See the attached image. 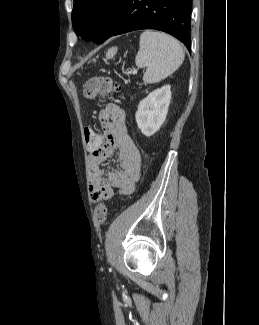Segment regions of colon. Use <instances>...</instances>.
Here are the masks:
<instances>
[{
    "label": "colon",
    "mask_w": 259,
    "mask_h": 325,
    "mask_svg": "<svg viewBox=\"0 0 259 325\" xmlns=\"http://www.w3.org/2000/svg\"><path fill=\"white\" fill-rule=\"evenodd\" d=\"M120 90L119 85L108 76H96L88 79L83 87L86 98L94 100L98 97L112 96ZM85 144L87 149H100L101 143L98 130L92 128L85 129ZM95 217L99 224H103L107 219V207L100 203L95 210Z\"/></svg>",
    "instance_id": "5ec220e1"
}]
</instances>
